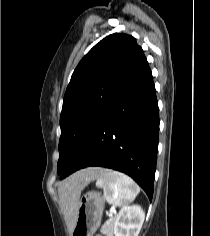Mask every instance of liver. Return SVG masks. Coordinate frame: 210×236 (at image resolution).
<instances>
[{
	"mask_svg": "<svg viewBox=\"0 0 210 236\" xmlns=\"http://www.w3.org/2000/svg\"><path fill=\"white\" fill-rule=\"evenodd\" d=\"M103 171L105 170L98 167L83 169L60 182L58 187L60 206L71 232L77 220L81 191Z\"/></svg>",
	"mask_w": 210,
	"mask_h": 236,
	"instance_id": "6515ba94",
	"label": "liver"
}]
</instances>
